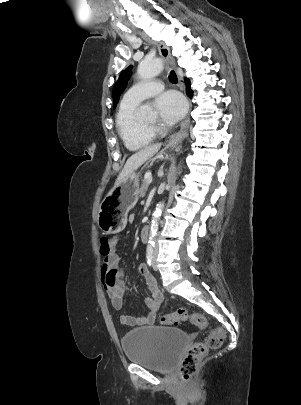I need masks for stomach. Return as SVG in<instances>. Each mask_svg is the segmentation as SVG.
I'll return each instance as SVG.
<instances>
[{
    "label": "stomach",
    "mask_w": 301,
    "mask_h": 405,
    "mask_svg": "<svg viewBox=\"0 0 301 405\" xmlns=\"http://www.w3.org/2000/svg\"><path fill=\"white\" fill-rule=\"evenodd\" d=\"M140 195L139 174L124 178L104 198L98 213V225L107 233L122 231L127 224V214L135 206Z\"/></svg>",
    "instance_id": "obj_1"
}]
</instances>
